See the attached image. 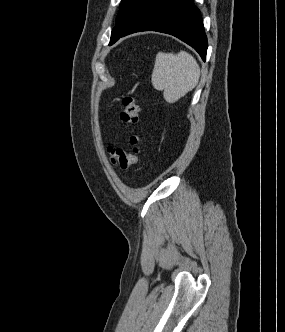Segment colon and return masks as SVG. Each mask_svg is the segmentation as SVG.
<instances>
[{
	"label": "colon",
	"mask_w": 285,
	"mask_h": 332,
	"mask_svg": "<svg viewBox=\"0 0 285 332\" xmlns=\"http://www.w3.org/2000/svg\"><path fill=\"white\" fill-rule=\"evenodd\" d=\"M139 115L140 106L137 99L131 94L125 95L122 99L120 117L122 122L131 129L129 138L130 148L123 149L113 146L108 148L113 165L120 169H128L136 166L141 157V138L135 131V127L139 123Z\"/></svg>",
	"instance_id": "colon-1"
}]
</instances>
